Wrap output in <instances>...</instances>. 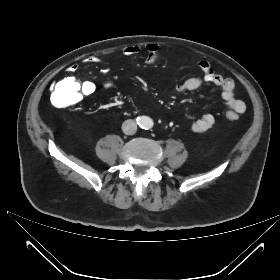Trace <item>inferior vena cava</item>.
Instances as JSON below:
<instances>
[{
	"label": "inferior vena cava",
	"mask_w": 280,
	"mask_h": 280,
	"mask_svg": "<svg viewBox=\"0 0 280 280\" xmlns=\"http://www.w3.org/2000/svg\"><path fill=\"white\" fill-rule=\"evenodd\" d=\"M122 130L126 135H133L137 130V124L134 120H126L122 124Z\"/></svg>",
	"instance_id": "1"
}]
</instances>
